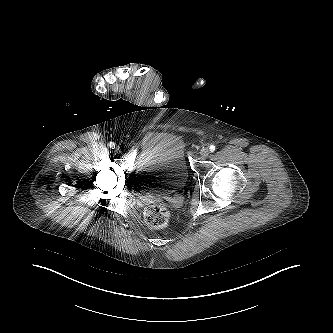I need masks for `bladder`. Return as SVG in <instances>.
<instances>
[{"mask_svg":"<svg viewBox=\"0 0 333 333\" xmlns=\"http://www.w3.org/2000/svg\"><path fill=\"white\" fill-rule=\"evenodd\" d=\"M186 142L181 134H163L139 162L134 184L137 191L167 195L183 188L188 180Z\"/></svg>","mask_w":333,"mask_h":333,"instance_id":"bladder-1","label":"bladder"}]
</instances>
